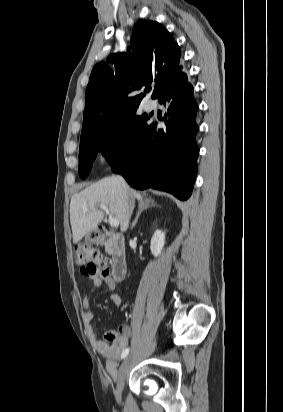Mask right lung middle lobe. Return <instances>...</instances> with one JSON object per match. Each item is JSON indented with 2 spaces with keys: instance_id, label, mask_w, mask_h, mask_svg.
Returning a JSON list of instances; mask_svg holds the SVG:
<instances>
[{
  "instance_id": "dd1d6c3e",
  "label": "right lung middle lobe",
  "mask_w": 283,
  "mask_h": 412,
  "mask_svg": "<svg viewBox=\"0 0 283 412\" xmlns=\"http://www.w3.org/2000/svg\"><path fill=\"white\" fill-rule=\"evenodd\" d=\"M136 110L112 129L80 139L79 174L81 178L88 176L99 151L105 152L110 163L120 161L127 154L137 134L149 119L146 114L135 115ZM107 146L109 149H106Z\"/></svg>"
}]
</instances>
